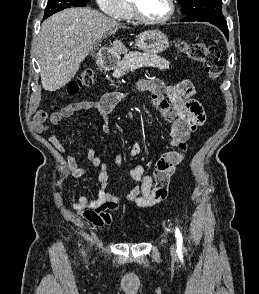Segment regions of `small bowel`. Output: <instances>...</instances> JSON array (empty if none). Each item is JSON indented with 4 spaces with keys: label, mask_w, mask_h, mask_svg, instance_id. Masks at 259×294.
<instances>
[{
    "label": "small bowel",
    "mask_w": 259,
    "mask_h": 294,
    "mask_svg": "<svg viewBox=\"0 0 259 294\" xmlns=\"http://www.w3.org/2000/svg\"><path fill=\"white\" fill-rule=\"evenodd\" d=\"M138 91H148L151 100L162 118L172 132L170 144L178 148L177 151L161 153L155 165L154 176L147 175L143 165H137L130 169L129 175L140 185L134 187L126 196H115L108 192L109 182L108 164L101 161L100 155L93 147L87 151V159L97 172L77 166L74 156L68 159V168L74 178L93 177L97 181V196L90 199L81 196L77 200L71 199V204L79 215L97 227L110 225L113 217L110 211H120L124 201L133 202L138 207L146 208L163 201L168 193V185L175 168L186 157V142L191 134L207 122V114L204 107L196 98V90L189 80H181L173 85H165L161 80L152 78L139 82ZM126 93L112 91L104 94L96 101H76L55 107L51 114L39 111L33 120V129L38 133H49V140L53 146L64 150V143L59 139L53 127L63 119L73 116L83 110L96 109L103 118V130L109 132L108 116L114 111L118 102ZM81 134L80 131H77ZM141 148L134 144L129 154L132 157L139 156Z\"/></svg>",
    "instance_id": "1"
}]
</instances>
